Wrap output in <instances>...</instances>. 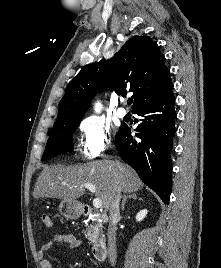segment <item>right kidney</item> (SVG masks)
Wrapping results in <instances>:
<instances>
[{
    "mask_svg": "<svg viewBox=\"0 0 221 268\" xmlns=\"http://www.w3.org/2000/svg\"><path fill=\"white\" fill-rule=\"evenodd\" d=\"M147 212H148V211H147L146 209H143V210L139 211V212L137 213V215H136V221H137V222L142 221V220L146 217Z\"/></svg>",
    "mask_w": 221,
    "mask_h": 268,
    "instance_id": "ca27d5eb",
    "label": "right kidney"
}]
</instances>
